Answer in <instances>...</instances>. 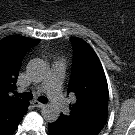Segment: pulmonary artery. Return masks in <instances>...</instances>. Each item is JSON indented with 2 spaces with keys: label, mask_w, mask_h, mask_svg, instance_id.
Here are the masks:
<instances>
[{
  "label": "pulmonary artery",
  "mask_w": 135,
  "mask_h": 135,
  "mask_svg": "<svg viewBox=\"0 0 135 135\" xmlns=\"http://www.w3.org/2000/svg\"><path fill=\"white\" fill-rule=\"evenodd\" d=\"M65 73V63L57 61L53 64L52 73L36 90L47 92L51 98L52 104L58 109H66L65 100L61 94V86Z\"/></svg>",
  "instance_id": "obj_1"
}]
</instances>
